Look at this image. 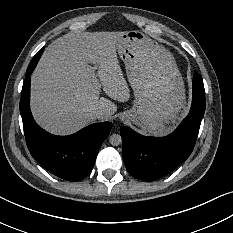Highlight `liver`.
Wrapping results in <instances>:
<instances>
[{"mask_svg": "<svg viewBox=\"0 0 233 233\" xmlns=\"http://www.w3.org/2000/svg\"><path fill=\"white\" fill-rule=\"evenodd\" d=\"M124 33L69 32L45 49L31 75V111L38 124L70 134L95 121L98 109L105 112L102 120L114 115L117 105L110 99H130L115 47ZM95 68L98 84L92 81ZM101 89L110 99L100 96Z\"/></svg>", "mask_w": 233, "mask_h": 233, "instance_id": "6515ba94", "label": "liver"}]
</instances>
